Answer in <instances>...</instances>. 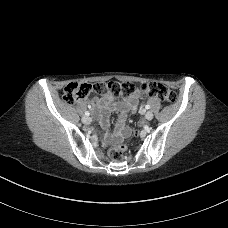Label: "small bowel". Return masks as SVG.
Instances as JSON below:
<instances>
[{"label": "small bowel", "mask_w": 228, "mask_h": 228, "mask_svg": "<svg viewBox=\"0 0 228 228\" xmlns=\"http://www.w3.org/2000/svg\"><path fill=\"white\" fill-rule=\"evenodd\" d=\"M93 105L98 110L101 120V126L107 131L109 127V115L112 111L116 110L120 112V120L117 128L113 134L106 132L105 141L115 142L127 137L130 134V129L125 125V115L132 110H135L138 106V96L135 95L128 100H122L118 97L106 95L101 99H94Z\"/></svg>", "instance_id": "c3829d8e"}]
</instances>
